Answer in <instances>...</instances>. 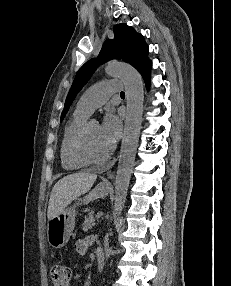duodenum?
Masks as SVG:
<instances>
[{
  "mask_svg": "<svg viewBox=\"0 0 231 286\" xmlns=\"http://www.w3.org/2000/svg\"><path fill=\"white\" fill-rule=\"evenodd\" d=\"M96 264H97V269L99 271H102L104 269L105 255L102 249H98L96 252Z\"/></svg>",
  "mask_w": 231,
  "mask_h": 286,
  "instance_id": "obj_1",
  "label": "duodenum"
}]
</instances>
